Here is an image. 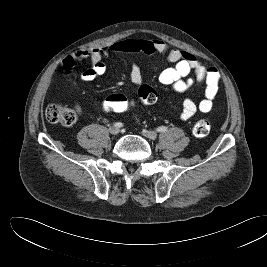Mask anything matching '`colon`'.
I'll return each instance as SVG.
<instances>
[{
    "mask_svg": "<svg viewBox=\"0 0 267 267\" xmlns=\"http://www.w3.org/2000/svg\"><path fill=\"white\" fill-rule=\"evenodd\" d=\"M137 97L142 104L151 105L155 103L157 93L152 87L142 85L138 89ZM136 106L137 102L135 99L122 93H112L102 101V109L107 113L123 114L133 110ZM45 115L49 122L63 126H71L77 119L74 109L56 103L48 105ZM192 132L196 137L208 135L210 132L209 121L204 118L197 120L193 125Z\"/></svg>",
    "mask_w": 267,
    "mask_h": 267,
    "instance_id": "1",
    "label": "colon"
}]
</instances>
